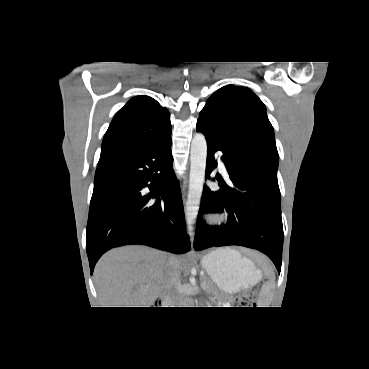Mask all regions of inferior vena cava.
<instances>
[{"label": "inferior vena cava", "mask_w": 369, "mask_h": 369, "mask_svg": "<svg viewBox=\"0 0 369 369\" xmlns=\"http://www.w3.org/2000/svg\"><path fill=\"white\" fill-rule=\"evenodd\" d=\"M179 277L180 275L177 266L172 260H169L167 262V274L162 294L164 296V300H168L171 307H175L173 304H175L177 299L176 290L180 284Z\"/></svg>", "instance_id": "602c4592"}]
</instances>
